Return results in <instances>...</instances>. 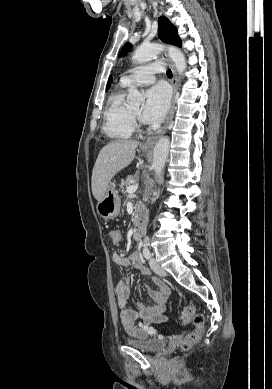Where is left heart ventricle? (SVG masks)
Masks as SVG:
<instances>
[{"mask_svg":"<svg viewBox=\"0 0 272 389\" xmlns=\"http://www.w3.org/2000/svg\"><path fill=\"white\" fill-rule=\"evenodd\" d=\"M132 110H133L136 114L140 115V114H141V111H142V106H135V107H132Z\"/></svg>","mask_w":272,"mask_h":389,"instance_id":"1","label":"left heart ventricle"}]
</instances>
